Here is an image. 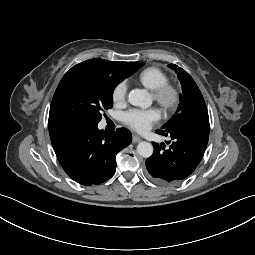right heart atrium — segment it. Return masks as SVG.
<instances>
[{"label":"right heart atrium","instance_id":"right-heart-atrium-1","mask_svg":"<svg viewBox=\"0 0 255 255\" xmlns=\"http://www.w3.org/2000/svg\"><path fill=\"white\" fill-rule=\"evenodd\" d=\"M127 97V84L124 81L119 82L112 91V100L116 105L125 103Z\"/></svg>","mask_w":255,"mask_h":255}]
</instances>
